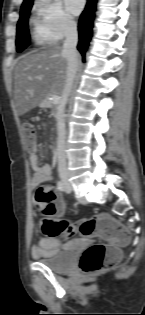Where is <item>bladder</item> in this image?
Listing matches in <instances>:
<instances>
[{
  "label": "bladder",
  "instance_id": "obj_1",
  "mask_svg": "<svg viewBox=\"0 0 145 315\" xmlns=\"http://www.w3.org/2000/svg\"><path fill=\"white\" fill-rule=\"evenodd\" d=\"M68 249H79V248H64L56 252L49 258L41 259V262L53 272H64L69 270L75 261V256H68Z\"/></svg>",
  "mask_w": 145,
  "mask_h": 315
}]
</instances>
